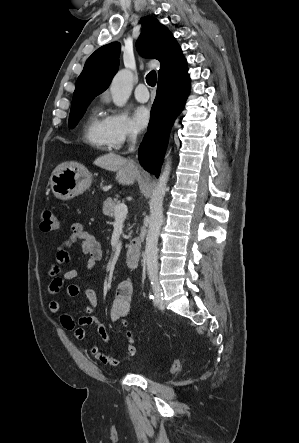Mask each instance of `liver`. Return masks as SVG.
<instances>
[{"mask_svg": "<svg viewBox=\"0 0 299 443\" xmlns=\"http://www.w3.org/2000/svg\"><path fill=\"white\" fill-rule=\"evenodd\" d=\"M94 164L102 169L116 172L115 179L122 185H131L140 178V172L134 163L115 153L99 156Z\"/></svg>", "mask_w": 299, "mask_h": 443, "instance_id": "6515ba94", "label": "liver"}]
</instances>
